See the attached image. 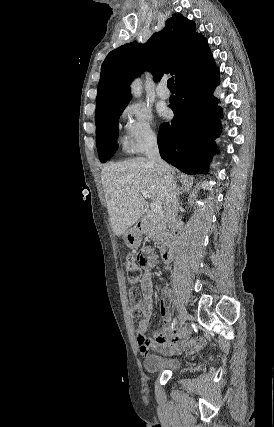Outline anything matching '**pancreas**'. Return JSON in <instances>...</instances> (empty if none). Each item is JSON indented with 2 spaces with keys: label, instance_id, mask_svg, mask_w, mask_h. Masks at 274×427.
<instances>
[{
  "label": "pancreas",
  "instance_id": "1",
  "mask_svg": "<svg viewBox=\"0 0 274 427\" xmlns=\"http://www.w3.org/2000/svg\"><path fill=\"white\" fill-rule=\"evenodd\" d=\"M166 217L165 212H159V214H154V212H148L147 215H144L142 219V233H146L151 239H156V241H162L168 237L166 229Z\"/></svg>",
  "mask_w": 274,
  "mask_h": 427
}]
</instances>
